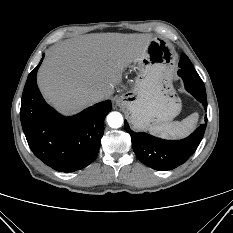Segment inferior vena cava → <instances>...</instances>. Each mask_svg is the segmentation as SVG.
Returning a JSON list of instances; mask_svg holds the SVG:
<instances>
[{
	"label": "inferior vena cava",
	"instance_id": "obj_1",
	"mask_svg": "<svg viewBox=\"0 0 233 233\" xmlns=\"http://www.w3.org/2000/svg\"><path fill=\"white\" fill-rule=\"evenodd\" d=\"M106 98H107V96H106V94L103 93V92H96V93L93 94V96H92V100H93L94 102H99V101H102V100H104V99H106Z\"/></svg>",
	"mask_w": 233,
	"mask_h": 233
}]
</instances>
